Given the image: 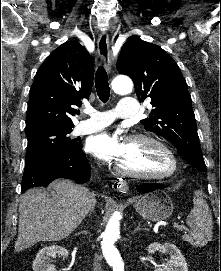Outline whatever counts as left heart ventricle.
I'll use <instances>...</instances> for the list:
<instances>
[{
	"instance_id": "1",
	"label": "left heart ventricle",
	"mask_w": 221,
	"mask_h": 271,
	"mask_svg": "<svg viewBox=\"0 0 221 271\" xmlns=\"http://www.w3.org/2000/svg\"><path fill=\"white\" fill-rule=\"evenodd\" d=\"M139 144H148L152 141L149 138H138ZM143 156H162L158 152H132V156H128V168H146V169H166L161 165V161H145Z\"/></svg>"
}]
</instances>
